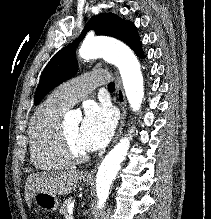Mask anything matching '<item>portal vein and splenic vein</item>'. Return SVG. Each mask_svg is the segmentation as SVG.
Here are the masks:
<instances>
[{
	"label": "portal vein and splenic vein",
	"mask_w": 211,
	"mask_h": 219,
	"mask_svg": "<svg viewBox=\"0 0 211 219\" xmlns=\"http://www.w3.org/2000/svg\"><path fill=\"white\" fill-rule=\"evenodd\" d=\"M66 219H73V215H67Z\"/></svg>",
	"instance_id": "portal-vein-and-splenic-vein-1"
}]
</instances>
